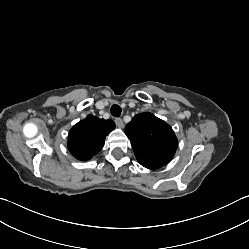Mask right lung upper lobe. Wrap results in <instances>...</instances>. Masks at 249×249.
Here are the masks:
<instances>
[{
    "instance_id": "1",
    "label": "right lung upper lobe",
    "mask_w": 249,
    "mask_h": 249,
    "mask_svg": "<svg viewBox=\"0 0 249 249\" xmlns=\"http://www.w3.org/2000/svg\"><path fill=\"white\" fill-rule=\"evenodd\" d=\"M114 128L112 120L88 115L69 131L68 149L78 160H89L102 149L105 137Z\"/></svg>"
}]
</instances>
